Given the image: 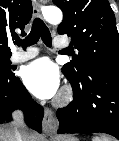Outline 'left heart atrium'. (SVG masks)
Listing matches in <instances>:
<instances>
[{"instance_id":"39dd6f15","label":"left heart atrium","mask_w":119,"mask_h":141,"mask_svg":"<svg viewBox=\"0 0 119 141\" xmlns=\"http://www.w3.org/2000/svg\"><path fill=\"white\" fill-rule=\"evenodd\" d=\"M27 88L38 98L53 97L59 88V72L48 58H41L26 66L22 74Z\"/></svg>"}]
</instances>
